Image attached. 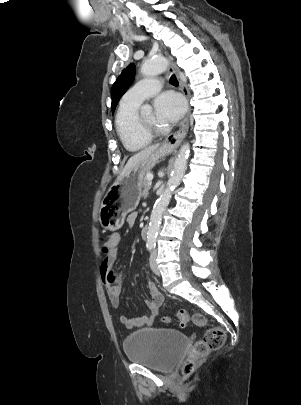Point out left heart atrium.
<instances>
[{"label":"left heart atrium","mask_w":301,"mask_h":405,"mask_svg":"<svg viewBox=\"0 0 301 405\" xmlns=\"http://www.w3.org/2000/svg\"><path fill=\"white\" fill-rule=\"evenodd\" d=\"M185 108L182 97L172 91L163 92L154 100L155 116L161 125L175 123L184 114Z\"/></svg>","instance_id":"1"}]
</instances>
